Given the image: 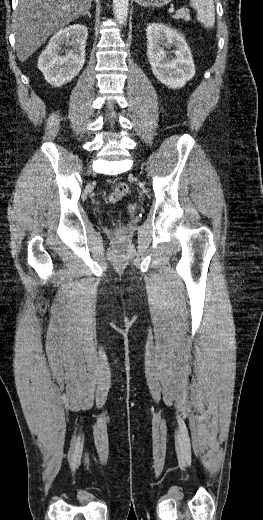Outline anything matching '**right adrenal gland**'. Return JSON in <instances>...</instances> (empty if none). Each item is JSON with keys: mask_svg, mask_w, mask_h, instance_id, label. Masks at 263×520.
I'll return each mask as SVG.
<instances>
[{"mask_svg": "<svg viewBox=\"0 0 263 520\" xmlns=\"http://www.w3.org/2000/svg\"><path fill=\"white\" fill-rule=\"evenodd\" d=\"M83 17L85 16H88L89 18H91V14H90V8L82 15Z\"/></svg>", "mask_w": 263, "mask_h": 520, "instance_id": "right-adrenal-gland-1", "label": "right adrenal gland"}]
</instances>
